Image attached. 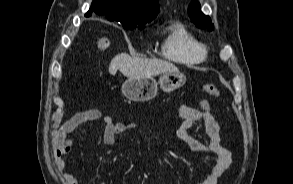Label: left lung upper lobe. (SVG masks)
<instances>
[{"instance_id": "1", "label": "left lung upper lobe", "mask_w": 293, "mask_h": 184, "mask_svg": "<svg viewBox=\"0 0 293 184\" xmlns=\"http://www.w3.org/2000/svg\"><path fill=\"white\" fill-rule=\"evenodd\" d=\"M188 13L191 20L195 23V25L201 29L207 28L208 31L214 30V25L211 23V19L209 16L204 15L201 12L200 4L193 0L188 8Z\"/></svg>"}]
</instances>
